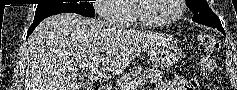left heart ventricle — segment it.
I'll return each instance as SVG.
<instances>
[{
	"mask_svg": "<svg viewBox=\"0 0 237 90\" xmlns=\"http://www.w3.org/2000/svg\"><path fill=\"white\" fill-rule=\"evenodd\" d=\"M176 0H146L138 1L141 15L150 21L166 20L176 11Z\"/></svg>",
	"mask_w": 237,
	"mask_h": 90,
	"instance_id": "b2bd125f",
	"label": "left heart ventricle"
}]
</instances>
